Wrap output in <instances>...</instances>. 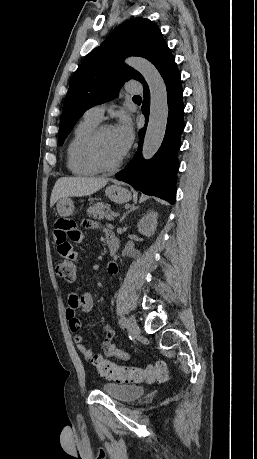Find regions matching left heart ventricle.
<instances>
[{"mask_svg": "<svg viewBox=\"0 0 257 459\" xmlns=\"http://www.w3.org/2000/svg\"><path fill=\"white\" fill-rule=\"evenodd\" d=\"M98 154L101 160L107 164L115 162L123 155L115 139L113 128L106 130L100 136Z\"/></svg>", "mask_w": 257, "mask_h": 459, "instance_id": "left-heart-ventricle-1", "label": "left heart ventricle"}]
</instances>
